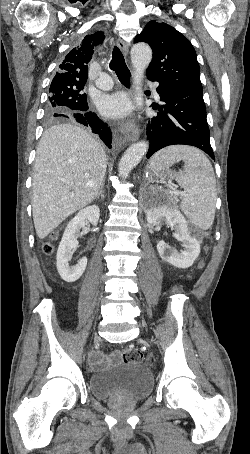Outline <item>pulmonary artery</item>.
<instances>
[{"instance_id": "pulmonary-artery-1", "label": "pulmonary artery", "mask_w": 250, "mask_h": 454, "mask_svg": "<svg viewBox=\"0 0 250 454\" xmlns=\"http://www.w3.org/2000/svg\"><path fill=\"white\" fill-rule=\"evenodd\" d=\"M96 86H97V88H99L101 90H109L113 87V80L107 74H102L96 80ZM153 93H154V96L158 99L159 95H158L155 87H153Z\"/></svg>"}]
</instances>
